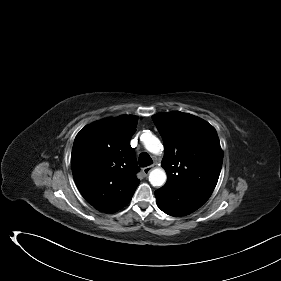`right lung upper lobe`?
<instances>
[{
	"label": "right lung upper lobe",
	"mask_w": 281,
	"mask_h": 281,
	"mask_svg": "<svg viewBox=\"0 0 281 281\" xmlns=\"http://www.w3.org/2000/svg\"><path fill=\"white\" fill-rule=\"evenodd\" d=\"M137 116L122 115L96 121L76 136L71 168L82 196L101 212L113 213L132 198L140 180L130 139Z\"/></svg>",
	"instance_id": "obj_1"
}]
</instances>
